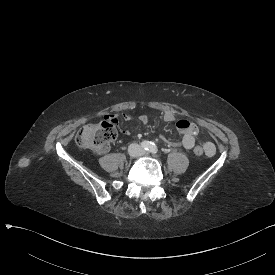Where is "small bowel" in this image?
Wrapping results in <instances>:
<instances>
[{"mask_svg": "<svg viewBox=\"0 0 275 275\" xmlns=\"http://www.w3.org/2000/svg\"><path fill=\"white\" fill-rule=\"evenodd\" d=\"M119 117L118 111H113L112 114H105L102 116L103 122L112 121V125L115 126V130L119 131L120 135H129L130 132L127 128H122V125L119 124V120L116 119ZM121 118L124 121L130 120L129 114H122ZM141 122L146 123L147 122V116L142 115L140 117ZM163 120L165 122H173L175 120L174 114L172 112H166L163 115ZM176 127L178 131L182 134V138L179 142L167 140L164 137H161L164 142H166L168 145L175 146V145H181L187 150H191L195 146V138L199 134V127L194 123L187 119H179L176 122ZM204 148L206 151V154L208 156H213L216 152L215 145L212 142H206L204 144Z\"/></svg>", "mask_w": 275, "mask_h": 275, "instance_id": "1", "label": "small bowel"}]
</instances>
